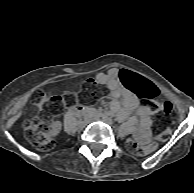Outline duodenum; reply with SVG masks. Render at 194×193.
<instances>
[{
  "label": "duodenum",
  "instance_id": "410a0bca",
  "mask_svg": "<svg viewBox=\"0 0 194 193\" xmlns=\"http://www.w3.org/2000/svg\"><path fill=\"white\" fill-rule=\"evenodd\" d=\"M70 111L75 115H92L104 119L106 117L105 113L97 112L91 108L84 106H72Z\"/></svg>",
  "mask_w": 194,
  "mask_h": 193
}]
</instances>
